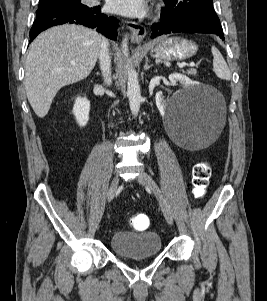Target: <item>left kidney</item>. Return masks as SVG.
Wrapping results in <instances>:
<instances>
[{
    "mask_svg": "<svg viewBox=\"0 0 267 301\" xmlns=\"http://www.w3.org/2000/svg\"><path fill=\"white\" fill-rule=\"evenodd\" d=\"M169 80L171 82H180L185 87H192L194 85H197L195 82H192L189 78H187L185 75L174 73L169 75ZM165 100L163 99L161 93H158L156 95V104L160 111H163L165 109Z\"/></svg>",
    "mask_w": 267,
    "mask_h": 301,
    "instance_id": "obj_1",
    "label": "left kidney"
}]
</instances>
